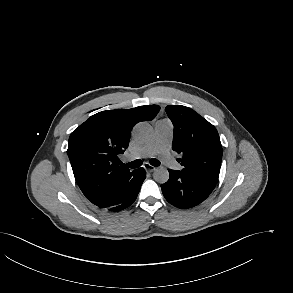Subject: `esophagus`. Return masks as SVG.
<instances>
[{
    "label": "esophagus",
    "mask_w": 293,
    "mask_h": 293,
    "mask_svg": "<svg viewBox=\"0 0 293 293\" xmlns=\"http://www.w3.org/2000/svg\"><path fill=\"white\" fill-rule=\"evenodd\" d=\"M144 169H145L147 172H153V171L156 170V167H154V166H152V165L146 163V164L144 165Z\"/></svg>",
    "instance_id": "esophagus-1"
}]
</instances>
